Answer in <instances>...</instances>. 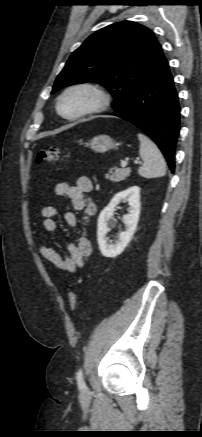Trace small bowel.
Wrapping results in <instances>:
<instances>
[{"instance_id":"c3829d8e","label":"small bowel","mask_w":202,"mask_h":437,"mask_svg":"<svg viewBox=\"0 0 202 437\" xmlns=\"http://www.w3.org/2000/svg\"><path fill=\"white\" fill-rule=\"evenodd\" d=\"M93 189V183L88 177H79L75 184L67 182H59L53 192L57 196H66L73 210L82 211L84 220L88 222L89 218L96 211L95 204L90 200L88 194ZM57 210L52 206H45L41 209L43 217V227L47 232L54 233L57 231V223L55 218ZM65 221L70 228H74L77 224V217L74 212L68 211L64 215ZM68 253L66 255L59 254L56 250L45 245H39V254L48 262L53 264L58 269L73 273L78 268L82 267L92 255V243L89 238L83 234L76 241L67 244Z\"/></svg>"}]
</instances>
